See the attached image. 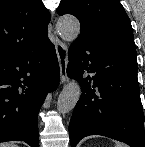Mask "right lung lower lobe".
Returning <instances> with one entry per match:
<instances>
[{
	"instance_id": "right-lung-lower-lobe-1",
	"label": "right lung lower lobe",
	"mask_w": 145,
	"mask_h": 147,
	"mask_svg": "<svg viewBox=\"0 0 145 147\" xmlns=\"http://www.w3.org/2000/svg\"><path fill=\"white\" fill-rule=\"evenodd\" d=\"M59 79L55 47L48 38L0 62V143L24 141L39 147L37 115Z\"/></svg>"
}]
</instances>
